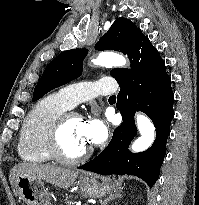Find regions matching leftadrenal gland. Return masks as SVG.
Here are the masks:
<instances>
[{
	"label": "left adrenal gland",
	"instance_id": "1",
	"mask_svg": "<svg viewBox=\"0 0 199 205\" xmlns=\"http://www.w3.org/2000/svg\"><path fill=\"white\" fill-rule=\"evenodd\" d=\"M121 196H122V194H120V192H115L114 194H111L109 197H107V198L102 202V205H107V203H108L110 200L119 198V197H121Z\"/></svg>",
	"mask_w": 199,
	"mask_h": 205
}]
</instances>
